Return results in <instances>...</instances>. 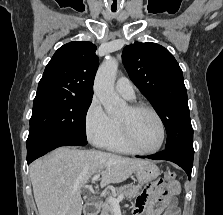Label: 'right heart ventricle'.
<instances>
[{"instance_id": "right-heart-ventricle-1", "label": "right heart ventricle", "mask_w": 223, "mask_h": 215, "mask_svg": "<svg viewBox=\"0 0 223 215\" xmlns=\"http://www.w3.org/2000/svg\"><path fill=\"white\" fill-rule=\"evenodd\" d=\"M102 146L113 152H118V153H126L130 154V150L126 147L124 142L122 141L121 138V132L119 128V122H117V125L112 132V134L103 142Z\"/></svg>"}]
</instances>
